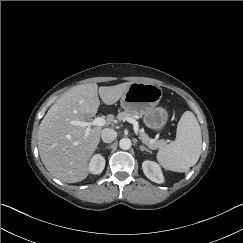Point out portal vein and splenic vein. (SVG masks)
<instances>
[{"label": "portal vein and splenic vein", "mask_w": 243, "mask_h": 243, "mask_svg": "<svg viewBox=\"0 0 243 243\" xmlns=\"http://www.w3.org/2000/svg\"><path fill=\"white\" fill-rule=\"evenodd\" d=\"M125 120L128 121L129 123L133 124L134 132H135L136 135H138V124H137V122L135 120L131 119V118H126ZM70 124L73 125V126H79V127L86 128L85 134H84V139H86L88 137L89 133H90L91 127H93V126H104L106 124V119H104L103 117H97L90 122L72 120V121H70Z\"/></svg>", "instance_id": "portal-vein-and-splenic-vein-1"}]
</instances>
